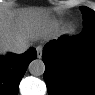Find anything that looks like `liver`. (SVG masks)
<instances>
[{
    "instance_id": "obj_1",
    "label": "liver",
    "mask_w": 95,
    "mask_h": 95,
    "mask_svg": "<svg viewBox=\"0 0 95 95\" xmlns=\"http://www.w3.org/2000/svg\"><path fill=\"white\" fill-rule=\"evenodd\" d=\"M49 12L40 7L2 10L0 13V53L5 55L16 42L46 38Z\"/></svg>"
}]
</instances>
